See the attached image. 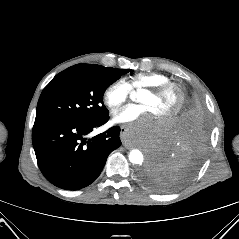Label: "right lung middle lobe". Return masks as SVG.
<instances>
[{
    "label": "right lung middle lobe",
    "instance_id": "right-lung-middle-lobe-1",
    "mask_svg": "<svg viewBox=\"0 0 239 239\" xmlns=\"http://www.w3.org/2000/svg\"><path fill=\"white\" fill-rule=\"evenodd\" d=\"M129 69L88 70L72 66L56 75L38 101L36 119L95 121L109 114L105 89Z\"/></svg>",
    "mask_w": 239,
    "mask_h": 239
}]
</instances>
